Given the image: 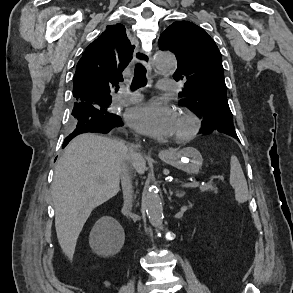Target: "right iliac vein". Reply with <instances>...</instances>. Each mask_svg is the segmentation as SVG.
<instances>
[{
	"label": "right iliac vein",
	"mask_w": 293,
	"mask_h": 293,
	"mask_svg": "<svg viewBox=\"0 0 293 293\" xmlns=\"http://www.w3.org/2000/svg\"><path fill=\"white\" fill-rule=\"evenodd\" d=\"M138 293H146L145 287L141 281L138 284Z\"/></svg>",
	"instance_id": "right-iliac-vein-1"
}]
</instances>
